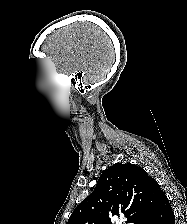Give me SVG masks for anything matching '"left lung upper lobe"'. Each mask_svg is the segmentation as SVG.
Returning <instances> with one entry per match:
<instances>
[{
	"label": "left lung upper lobe",
	"mask_w": 187,
	"mask_h": 224,
	"mask_svg": "<svg viewBox=\"0 0 187 224\" xmlns=\"http://www.w3.org/2000/svg\"><path fill=\"white\" fill-rule=\"evenodd\" d=\"M161 191L143 168L115 164L103 171L95 190L75 208L66 224H111V217L122 213L128 223L144 224Z\"/></svg>",
	"instance_id": "1"
}]
</instances>
